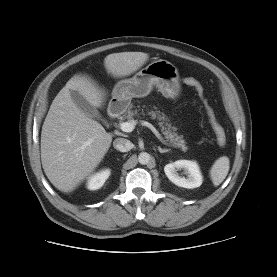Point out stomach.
<instances>
[{
    "instance_id": "1",
    "label": "stomach",
    "mask_w": 277,
    "mask_h": 277,
    "mask_svg": "<svg viewBox=\"0 0 277 277\" xmlns=\"http://www.w3.org/2000/svg\"><path fill=\"white\" fill-rule=\"evenodd\" d=\"M155 86L163 96L175 99L180 94L179 73L167 60L159 59L142 68L132 78L120 80L113 88L109 109L124 112L132 98L147 96Z\"/></svg>"
}]
</instances>
